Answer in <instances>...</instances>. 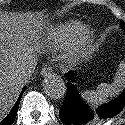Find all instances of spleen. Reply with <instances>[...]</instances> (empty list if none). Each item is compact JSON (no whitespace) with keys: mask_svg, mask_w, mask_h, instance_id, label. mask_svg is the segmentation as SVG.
Returning <instances> with one entry per match:
<instances>
[{"mask_svg":"<svg viewBox=\"0 0 125 125\" xmlns=\"http://www.w3.org/2000/svg\"><path fill=\"white\" fill-rule=\"evenodd\" d=\"M123 88H125V62L119 64L113 83H101L96 90H86L81 96L93 107H97L106 103L109 97L117 96Z\"/></svg>","mask_w":125,"mask_h":125,"instance_id":"1","label":"spleen"}]
</instances>
